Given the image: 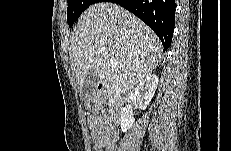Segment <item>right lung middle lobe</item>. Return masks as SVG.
<instances>
[{
    "label": "right lung middle lobe",
    "mask_w": 231,
    "mask_h": 151,
    "mask_svg": "<svg viewBox=\"0 0 231 151\" xmlns=\"http://www.w3.org/2000/svg\"><path fill=\"white\" fill-rule=\"evenodd\" d=\"M98 0H68L67 23L71 27L79 16L90 5L97 3Z\"/></svg>",
    "instance_id": "obj_1"
}]
</instances>
